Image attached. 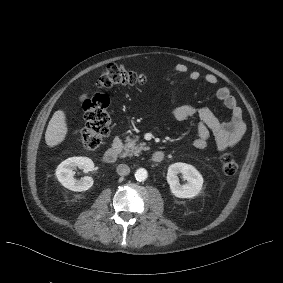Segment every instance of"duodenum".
Masks as SVG:
<instances>
[{
	"instance_id": "1",
	"label": "duodenum",
	"mask_w": 283,
	"mask_h": 283,
	"mask_svg": "<svg viewBox=\"0 0 283 283\" xmlns=\"http://www.w3.org/2000/svg\"><path fill=\"white\" fill-rule=\"evenodd\" d=\"M121 149V141L116 138L112 144L104 153L103 160L106 163H114L119 156V152ZM164 159V153L162 151H155L151 155V160L155 163L162 162Z\"/></svg>"
}]
</instances>
